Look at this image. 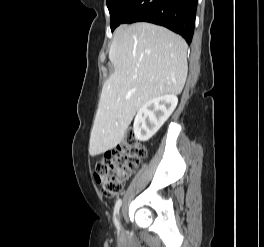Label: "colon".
Instances as JSON below:
<instances>
[{
    "instance_id": "obj_1",
    "label": "colon",
    "mask_w": 264,
    "mask_h": 247,
    "mask_svg": "<svg viewBox=\"0 0 264 247\" xmlns=\"http://www.w3.org/2000/svg\"><path fill=\"white\" fill-rule=\"evenodd\" d=\"M145 156V147L131 132L127 133L117 148L106 153L95 166L94 177L101 184L102 194L108 198L118 195Z\"/></svg>"
}]
</instances>
